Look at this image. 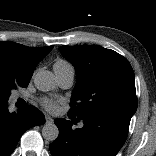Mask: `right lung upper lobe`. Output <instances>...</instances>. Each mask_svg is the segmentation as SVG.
<instances>
[{
	"label": "right lung upper lobe",
	"mask_w": 156,
	"mask_h": 156,
	"mask_svg": "<svg viewBox=\"0 0 156 156\" xmlns=\"http://www.w3.org/2000/svg\"><path fill=\"white\" fill-rule=\"evenodd\" d=\"M52 48L53 46L27 47L15 42L0 41V75L29 82L34 68Z\"/></svg>",
	"instance_id": "obj_1"
}]
</instances>
